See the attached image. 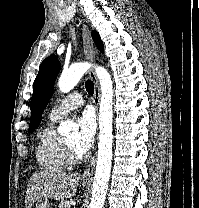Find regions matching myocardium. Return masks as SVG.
<instances>
[{
    "mask_svg": "<svg viewBox=\"0 0 199 208\" xmlns=\"http://www.w3.org/2000/svg\"><path fill=\"white\" fill-rule=\"evenodd\" d=\"M64 145H65L67 160L69 164L80 163L84 160V156L77 154L75 150L72 148V146L68 144L67 141H65Z\"/></svg>",
    "mask_w": 199,
    "mask_h": 208,
    "instance_id": "myocardium-1",
    "label": "myocardium"
}]
</instances>
